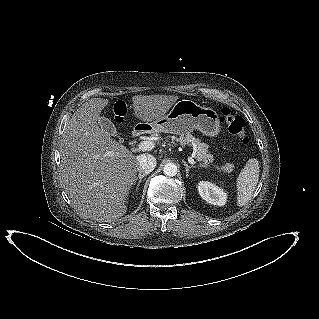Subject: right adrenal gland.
Listing matches in <instances>:
<instances>
[{
	"mask_svg": "<svg viewBox=\"0 0 319 319\" xmlns=\"http://www.w3.org/2000/svg\"><path fill=\"white\" fill-rule=\"evenodd\" d=\"M147 174H139L138 177L136 178L135 182H134V185L136 184L137 180H138V183H137V186H136V192L138 191L139 189V186H140V183L142 182V179L146 176Z\"/></svg>",
	"mask_w": 319,
	"mask_h": 319,
	"instance_id": "obj_1",
	"label": "right adrenal gland"
}]
</instances>
